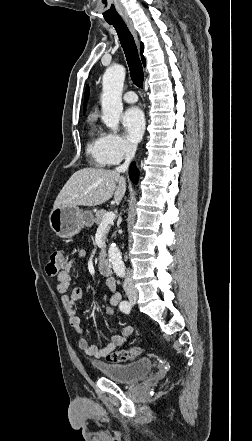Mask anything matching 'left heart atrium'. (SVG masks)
<instances>
[{
    "label": "left heart atrium",
    "mask_w": 252,
    "mask_h": 441,
    "mask_svg": "<svg viewBox=\"0 0 252 441\" xmlns=\"http://www.w3.org/2000/svg\"><path fill=\"white\" fill-rule=\"evenodd\" d=\"M122 124L127 139L132 143L138 142L145 128V119L142 111L137 107L128 109L122 117Z\"/></svg>",
    "instance_id": "left-heart-atrium-1"
}]
</instances>
